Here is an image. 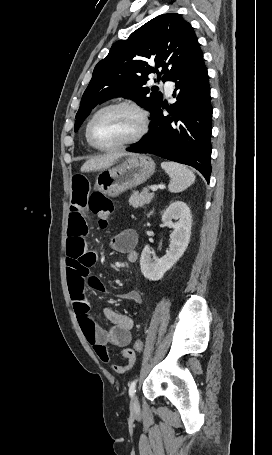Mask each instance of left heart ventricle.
I'll list each match as a JSON object with an SVG mask.
<instances>
[{
	"mask_svg": "<svg viewBox=\"0 0 272 455\" xmlns=\"http://www.w3.org/2000/svg\"><path fill=\"white\" fill-rule=\"evenodd\" d=\"M139 127L140 120L136 112L127 107H118L97 117L92 127V136L98 145L108 147L130 139Z\"/></svg>",
	"mask_w": 272,
	"mask_h": 455,
	"instance_id": "1",
	"label": "left heart ventricle"
}]
</instances>
